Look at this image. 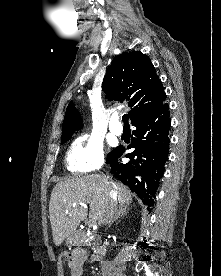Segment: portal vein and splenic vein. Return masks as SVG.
I'll return each instance as SVG.
<instances>
[{
    "instance_id": "obj_1",
    "label": "portal vein and splenic vein",
    "mask_w": 221,
    "mask_h": 276,
    "mask_svg": "<svg viewBox=\"0 0 221 276\" xmlns=\"http://www.w3.org/2000/svg\"><path fill=\"white\" fill-rule=\"evenodd\" d=\"M80 205H82V206H85V207H86V205H85V204H83V203H80ZM93 225H94V222H93V221H89L88 226H89V227H92Z\"/></svg>"
}]
</instances>
